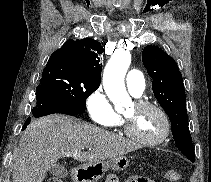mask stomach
Here are the masks:
<instances>
[{
    "label": "stomach",
    "mask_w": 211,
    "mask_h": 182,
    "mask_svg": "<svg viewBox=\"0 0 211 182\" xmlns=\"http://www.w3.org/2000/svg\"><path fill=\"white\" fill-rule=\"evenodd\" d=\"M129 166V159L122 155L109 161L92 162L77 167L72 172L74 182H97L108 169L123 171Z\"/></svg>",
    "instance_id": "obj_1"
}]
</instances>
